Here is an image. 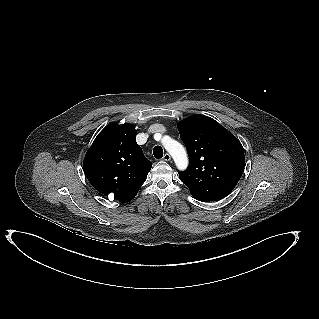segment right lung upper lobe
<instances>
[{"label": "right lung upper lobe", "instance_id": "obj_1", "mask_svg": "<svg viewBox=\"0 0 319 319\" xmlns=\"http://www.w3.org/2000/svg\"><path fill=\"white\" fill-rule=\"evenodd\" d=\"M152 167L136 143L133 125L111 124L95 138L83 168L91 185L100 193H113L122 203L132 200Z\"/></svg>", "mask_w": 319, "mask_h": 319}]
</instances>
